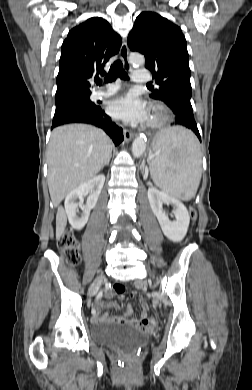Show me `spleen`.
<instances>
[{
  "label": "spleen",
  "mask_w": 252,
  "mask_h": 390,
  "mask_svg": "<svg viewBox=\"0 0 252 390\" xmlns=\"http://www.w3.org/2000/svg\"><path fill=\"white\" fill-rule=\"evenodd\" d=\"M154 158L149 163L153 182L165 193L189 201L198 190L202 168L195 135L182 128L160 131L154 141Z\"/></svg>",
  "instance_id": "spleen-1"
}]
</instances>
